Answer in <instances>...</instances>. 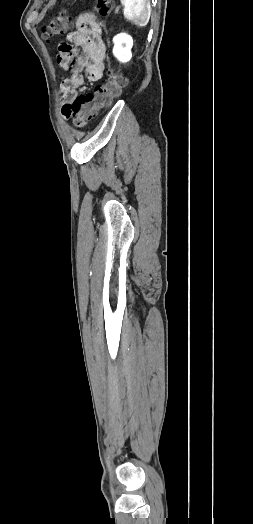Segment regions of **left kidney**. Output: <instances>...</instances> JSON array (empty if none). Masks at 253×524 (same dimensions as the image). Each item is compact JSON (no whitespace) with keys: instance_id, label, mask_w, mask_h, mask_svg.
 Returning <instances> with one entry per match:
<instances>
[{"instance_id":"1","label":"left kidney","mask_w":253,"mask_h":524,"mask_svg":"<svg viewBox=\"0 0 253 524\" xmlns=\"http://www.w3.org/2000/svg\"><path fill=\"white\" fill-rule=\"evenodd\" d=\"M114 42V48H113V54L114 56L121 62L125 63L128 62L131 57V48L133 46V39L131 36L121 33L116 35L113 38Z\"/></svg>"}]
</instances>
